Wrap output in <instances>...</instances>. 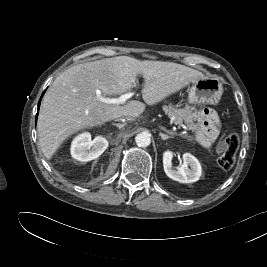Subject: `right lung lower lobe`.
<instances>
[{"instance_id":"right-lung-lower-lobe-1","label":"right lung lower lobe","mask_w":267,"mask_h":267,"mask_svg":"<svg viewBox=\"0 0 267 267\" xmlns=\"http://www.w3.org/2000/svg\"><path fill=\"white\" fill-rule=\"evenodd\" d=\"M43 96V95H42ZM42 98V97H41ZM41 100V99H40ZM39 105H40V101H39V104H38V109H39ZM37 115H38V113H37ZM36 118H37V116H36Z\"/></svg>"}]
</instances>
